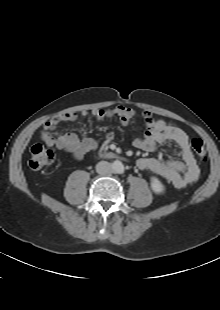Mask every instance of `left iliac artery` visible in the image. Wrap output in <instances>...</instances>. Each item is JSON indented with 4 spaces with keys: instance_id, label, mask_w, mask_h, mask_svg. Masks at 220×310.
<instances>
[{
    "instance_id": "left-iliac-artery-1",
    "label": "left iliac artery",
    "mask_w": 220,
    "mask_h": 310,
    "mask_svg": "<svg viewBox=\"0 0 220 310\" xmlns=\"http://www.w3.org/2000/svg\"><path fill=\"white\" fill-rule=\"evenodd\" d=\"M119 173H124V168L123 167L119 169Z\"/></svg>"
}]
</instances>
